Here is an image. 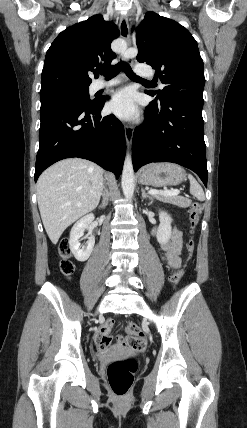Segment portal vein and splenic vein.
<instances>
[{"mask_svg":"<svg viewBox=\"0 0 247 428\" xmlns=\"http://www.w3.org/2000/svg\"><path fill=\"white\" fill-rule=\"evenodd\" d=\"M180 193L179 190L177 189H173V190H155L152 189L149 191V194H161V195H165V196H176Z\"/></svg>","mask_w":247,"mask_h":428,"instance_id":"portal-vein-and-splenic-vein-1","label":"portal vein and splenic vein"}]
</instances>
